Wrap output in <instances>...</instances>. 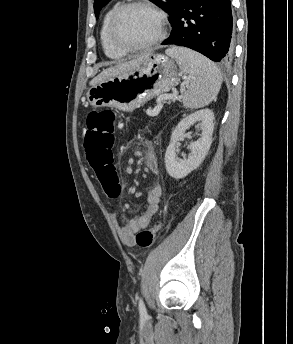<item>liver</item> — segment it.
I'll list each match as a JSON object with an SVG mask.
<instances>
[{
  "instance_id": "obj_1",
  "label": "liver",
  "mask_w": 293,
  "mask_h": 344,
  "mask_svg": "<svg viewBox=\"0 0 293 344\" xmlns=\"http://www.w3.org/2000/svg\"><path fill=\"white\" fill-rule=\"evenodd\" d=\"M151 53H144L141 54L137 57H135L132 60L129 61H121L118 62L116 65L114 66H110L106 69H104L99 75H97L95 78H93L90 81V86H95L99 83H102L105 80H108L112 77L118 76V75H122V74H126L130 71L135 70L136 68H138L144 61L145 59L150 55Z\"/></svg>"
}]
</instances>
